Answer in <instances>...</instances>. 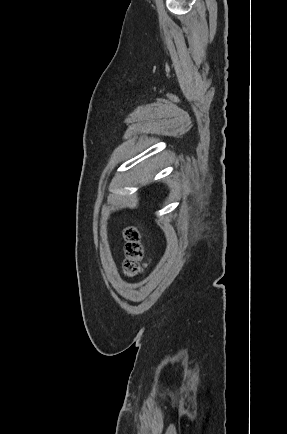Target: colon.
<instances>
[{
  "instance_id": "1",
  "label": "colon",
  "mask_w": 287,
  "mask_h": 434,
  "mask_svg": "<svg viewBox=\"0 0 287 434\" xmlns=\"http://www.w3.org/2000/svg\"><path fill=\"white\" fill-rule=\"evenodd\" d=\"M125 240V259L123 271L125 276L134 277L142 272L144 247L139 230L134 226L126 227L123 231Z\"/></svg>"
}]
</instances>
